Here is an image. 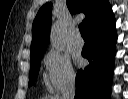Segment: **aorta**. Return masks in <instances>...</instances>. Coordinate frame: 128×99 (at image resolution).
Masks as SVG:
<instances>
[{"label": "aorta", "instance_id": "762f6f07", "mask_svg": "<svg viewBox=\"0 0 128 99\" xmlns=\"http://www.w3.org/2000/svg\"><path fill=\"white\" fill-rule=\"evenodd\" d=\"M51 45L55 49H63L65 47V40L62 34L61 27L58 23H55L51 31Z\"/></svg>", "mask_w": 128, "mask_h": 99}]
</instances>
